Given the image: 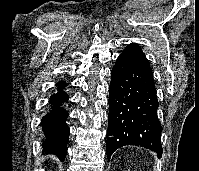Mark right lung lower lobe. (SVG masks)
I'll return each mask as SVG.
<instances>
[{
  "label": "right lung lower lobe",
  "mask_w": 199,
  "mask_h": 171,
  "mask_svg": "<svg viewBox=\"0 0 199 171\" xmlns=\"http://www.w3.org/2000/svg\"><path fill=\"white\" fill-rule=\"evenodd\" d=\"M57 86V92L50 97L51 110L42 119V129L45 135L43 152L55 154L62 161L67 153L69 136V128L66 124L68 113L62 104L68 100V95L64 91L66 82L60 81Z\"/></svg>",
  "instance_id": "1"
}]
</instances>
